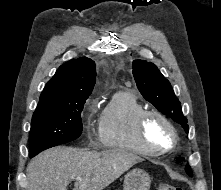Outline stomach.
Instances as JSON below:
<instances>
[{
	"mask_svg": "<svg viewBox=\"0 0 221 190\" xmlns=\"http://www.w3.org/2000/svg\"><path fill=\"white\" fill-rule=\"evenodd\" d=\"M151 179L144 170L133 169L125 175L123 190H149Z\"/></svg>",
	"mask_w": 221,
	"mask_h": 190,
	"instance_id": "1",
	"label": "stomach"
}]
</instances>
